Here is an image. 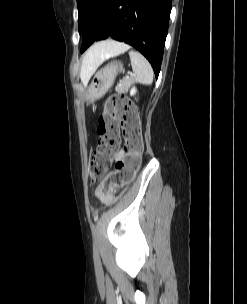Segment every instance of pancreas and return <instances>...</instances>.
I'll use <instances>...</instances> for the list:
<instances>
[{
	"label": "pancreas",
	"instance_id": "obj_1",
	"mask_svg": "<svg viewBox=\"0 0 247 304\" xmlns=\"http://www.w3.org/2000/svg\"><path fill=\"white\" fill-rule=\"evenodd\" d=\"M132 81H133V79H128V78L123 79L121 81V83L119 85H117L116 91L118 93H125L128 90V88L130 87Z\"/></svg>",
	"mask_w": 247,
	"mask_h": 304
}]
</instances>
